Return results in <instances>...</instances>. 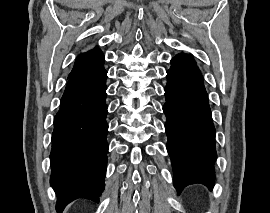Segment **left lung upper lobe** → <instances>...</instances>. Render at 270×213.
Instances as JSON below:
<instances>
[{
	"mask_svg": "<svg viewBox=\"0 0 270 213\" xmlns=\"http://www.w3.org/2000/svg\"><path fill=\"white\" fill-rule=\"evenodd\" d=\"M172 65H179V66H185V65H196V62L194 59L184 53L176 55L172 60H171Z\"/></svg>",
	"mask_w": 270,
	"mask_h": 213,
	"instance_id": "1",
	"label": "left lung upper lobe"
}]
</instances>
